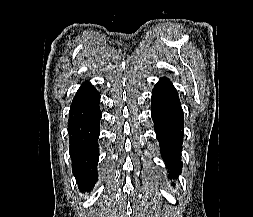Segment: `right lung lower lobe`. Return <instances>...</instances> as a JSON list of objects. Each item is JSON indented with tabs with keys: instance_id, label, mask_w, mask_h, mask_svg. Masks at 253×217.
I'll return each instance as SVG.
<instances>
[{
	"instance_id": "obj_1",
	"label": "right lung lower lobe",
	"mask_w": 253,
	"mask_h": 217,
	"mask_svg": "<svg viewBox=\"0 0 253 217\" xmlns=\"http://www.w3.org/2000/svg\"><path fill=\"white\" fill-rule=\"evenodd\" d=\"M100 94L89 82L81 85L70 108L69 136L73 172L79 188L90 190L97 181Z\"/></svg>"
}]
</instances>
